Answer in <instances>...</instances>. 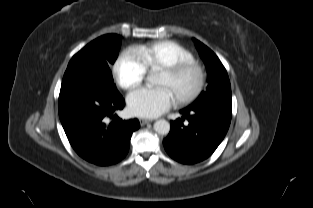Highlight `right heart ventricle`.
I'll use <instances>...</instances> for the list:
<instances>
[{
    "label": "right heart ventricle",
    "instance_id": "e07e8e85",
    "mask_svg": "<svg viewBox=\"0 0 313 208\" xmlns=\"http://www.w3.org/2000/svg\"><path fill=\"white\" fill-rule=\"evenodd\" d=\"M134 51L148 70H159L194 59L193 54L187 48L172 40H161L140 45Z\"/></svg>",
    "mask_w": 313,
    "mask_h": 208
}]
</instances>
